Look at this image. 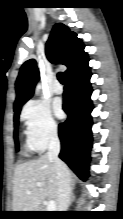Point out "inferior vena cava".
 Wrapping results in <instances>:
<instances>
[{
	"label": "inferior vena cava",
	"mask_w": 123,
	"mask_h": 219,
	"mask_svg": "<svg viewBox=\"0 0 123 219\" xmlns=\"http://www.w3.org/2000/svg\"><path fill=\"white\" fill-rule=\"evenodd\" d=\"M60 153V141L57 130H53L50 134V142L47 155L53 160L55 171L58 179V195H57V211H66L71 200V182L69 170L58 155Z\"/></svg>",
	"instance_id": "obj_1"
}]
</instances>
